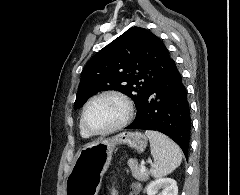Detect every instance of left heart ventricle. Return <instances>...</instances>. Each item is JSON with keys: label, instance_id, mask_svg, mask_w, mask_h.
Returning a JSON list of instances; mask_svg holds the SVG:
<instances>
[{"label": "left heart ventricle", "instance_id": "obj_1", "mask_svg": "<svg viewBox=\"0 0 240 195\" xmlns=\"http://www.w3.org/2000/svg\"><path fill=\"white\" fill-rule=\"evenodd\" d=\"M124 113L125 107L121 100L115 97H106L89 107L85 124L89 130H102L118 123Z\"/></svg>", "mask_w": 240, "mask_h": 195}]
</instances>
